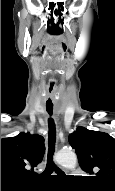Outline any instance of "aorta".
Listing matches in <instances>:
<instances>
[{
	"label": "aorta",
	"instance_id": "aorta-1",
	"mask_svg": "<svg viewBox=\"0 0 115 191\" xmlns=\"http://www.w3.org/2000/svg\"><path fill=\"white\" fill-rule=\"evenodd\" d=\"M57 162L67 168H74L77 163L76 154L72 151H60L56 155Z\"/></svg>",
	"mask_w": 115,
	"mask_h": 191
}]
</instances>
